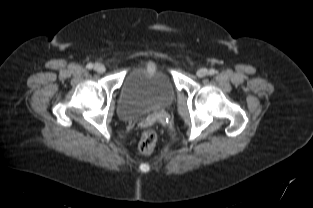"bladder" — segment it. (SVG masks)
<instances>
[{
	"mask_svg": "<svg viewBox=\"0 0 313 208\" xmlns=\"http://www.w3.org/2000/svg\"><path fill=\"white\" fill-rule=\"evenodd\" d=\"M174 96L175 84L167 72L136 66L122 83L116 112L120 118L133 119L166 107Z\"/></svg>",
	"mask_w": 313,
	"mask_h": 208,
	"instance_id": "1",
	"label": "bladder"
}]
</instances>
